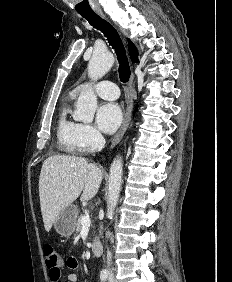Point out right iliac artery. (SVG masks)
Segmentation results:
<instances>
[{
  "mask_svg": "<svg viewBox=\"0 0 232 282\" xmlns=\"http://www.w3.org/2000/svg\"><path fill=\"white\" fill-rule=\"evenodd\" d=\"M107 276H108L107 272L106 271H102L101 274H100L101 281L105 282L106 279H107Z\"/></svg>",
  "mask_w": 232,
  "mask_h": 282,
  "instance_id": "obj_1",
  "label": "right iliac artery"
}]
</instances>
